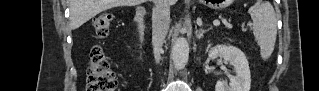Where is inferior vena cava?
<instances>
[{
	"label": "inferior vena cava",
	"mask_w": 319,
	"mask_h": 91,
	"mask_svg": "<svg viewBox=\"0 0 319 91\" xmlns=\"http://www.w3.org/2000/svg\"><path fill=\"white\" fill-rule=\"evenodd\" d=\"M152 14V45L156 63L160 61V53L170 24V4L168 0H154Z\"/></svg>",
	"instance_id": "602c4592"
}]
</instances>
